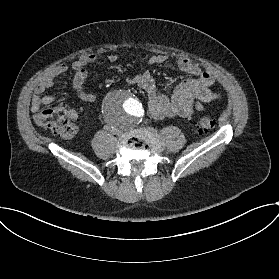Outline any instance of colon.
I'll use <instances>...</instances> for the list:
<instances>
[{
  "mask_svg": "<svg viewBox=\"0 0 279 279\" xmlns=\"http://www.w3.org/2000/svg\"><path fill=\"white\" fill-rule=\"evenodd\" d=\"M73 114L65 108H46L37 114L38 124L63 138H70L76 132V127L72 121ZM215 125L213 117L203 114L197 122V129L200 133L210 131Z\"/></svg>",
  "mask_w": 279,
  "mask_h": 279,
  "instance_id": "1",
  "label": "colon"
}]
</instances>
